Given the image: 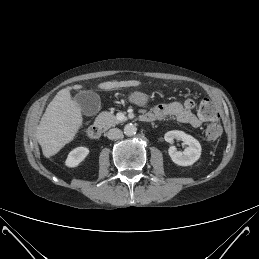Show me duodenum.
<instances>
[{
  "instance_id": "duodenum-1",
  "label": "duodenum",
  "mask_w": 259,
  "mask_h": 259,
  "mask_svg": "<svg viewBox=\"0 0 259 259\" xmlns=\"http://www.w3.org/2000/svg\"><path fill=\"white\" fill-rule=\"evenodd\" d=\"M140 119L142 122H146V123L154 121V117L150 114H144L141 116ZM102 133H103V129L99 124H92L88 129L89 137L94 140H98L102 136Z\"/></svg>"
}]
</instances>
